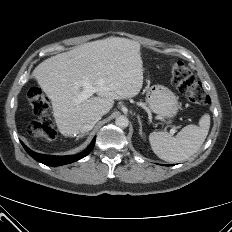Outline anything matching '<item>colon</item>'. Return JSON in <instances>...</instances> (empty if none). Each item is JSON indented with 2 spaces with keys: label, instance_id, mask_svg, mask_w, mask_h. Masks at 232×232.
Returning <instances> with one entry per match:
<instances>
[{
  "label": "colon",
  "instance_id": "1",
  "mask_svg": "<svg viewBox=\"0 0 232 232\" xmlns=\"http://www.w3.org/2000/svg\"><path fill=\"white\" fill-rule=\"evenodd\" d=\"M171 81L173 86L185 94L195 104H207V95L202 83L197 79L195 73L181 61L171 64ZM27 99L34 113L40 118L29 123L27 133L30 137L51 141L56 138V131L52 121L46 117L50 102L43 91L38 87H32L27 93Z\"/></svg>",
  "mask_w": 232,
  "mask_h": 232
}]
</instances>
